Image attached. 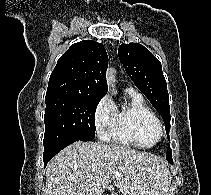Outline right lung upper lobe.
<instances>
[{
	"instance_id": "1",
	"label": "right lung upper lobe",
	"mask_w": 211,
	"mask_h": 195,
	"mask_svg": "<svg viewBox=\"0 0 211 195\" xmlns=\"http://www.w3.org/2000/svg\"><path fill=\"white\" fill-rule=\"evenodd\" d=\"M108 56L93 40L73 44L57 61L50 75L48 94H69L101 99L107 92Z\"/></svg>"
}]
</instances>
